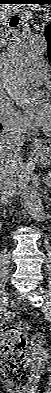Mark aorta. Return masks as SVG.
<instances>
[{
  "instance_id": "aorta-1",
  "label": "aorta",
  "mask_w": 51,
  "mask_h": 393,
  "mask_svg": "<svg viewBox=\"0 0 51 393\" xmlns=\"http://www.w3.org/2000/svg\"><path fill=\"white\" fill-rule=\"evenodd\" d=\"M47 43L43 35H18L9 45L5 59L6 90L23 108H30L34 98L22 80V73L33 62L46 54ZM24 207L39 222L45 220L44 207L36 188L25 180L21 186Z\"/></svg>"
}]
</instances>
